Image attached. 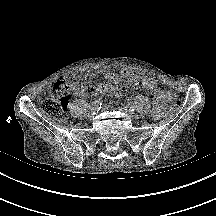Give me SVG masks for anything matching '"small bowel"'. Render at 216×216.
<instances>
[{
	"label": "small bowel",
	"instance_id": "c3829d8e",
	"mask_svg": "<svg viewBox=\"0 0 216 216\" xmlns=\"http://www.w3.org/2000/svg\"><path fill=\"white\" fill-rule=\"evenodd\" d=\"M105 79L111 83H128L137 88H143L155 92L156 100L152 109V115L155 118H159L163 115L165 104L168 100V92L158 90L157 82L152 77L142 73H134L130 69H123L120 74L107 72L105 74ZM73 92L78 96L84 97L96 96L100 93L119 94L117 88L107 83H98L96 85L78 84L73 89Z\"/></svg>",
	"mask_w": 216,
	"mask_h": 216
}]
</instances>
